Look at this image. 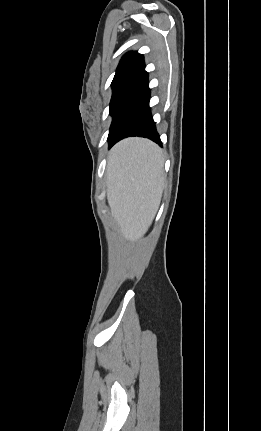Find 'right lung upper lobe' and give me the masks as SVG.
<instances>
[{
	"label": "right lung upper lobe",
	"instance_id": "1",
	"mask_svg": "<svg viewBox=\"0 0 261 431\" xmlns=\"http://www.w3.org/2000/svg\"><path fill=\"white\" fill-rule=\"evenodd\" d=\"M144 67H145V64H144L143 55L138 54L137 52L127 53L121 59L117 67L114 79H117L121 76L130 74V73L140 74L142 71H144Z\"/></svg>",
	"mask_w": 261,
	"mask_h": 431
}]
</instances>
